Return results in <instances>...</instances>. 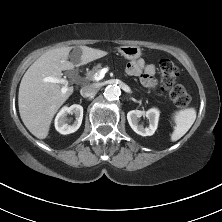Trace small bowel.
I'll return each instance as SVG.
<instances>
[{
  "label": "small bowel",
  "instance_id": "c3829d8e",
  "mask_svg": "<svg viewBox=\"0 0 222 222\" xmlns=\"http://www.w3.org/2000/svg\"><path fill=\"white\" fill-rule=\"evenodd\" d=\"M155 72V66L153 64H146L143 59L133 61L127 66V73L129 75L138 76L141 83L150 89H155L158 85L154 77Z\"/></svg>",
  "mask_w": 222,
  "mask_h": 222
}]
</instances>
